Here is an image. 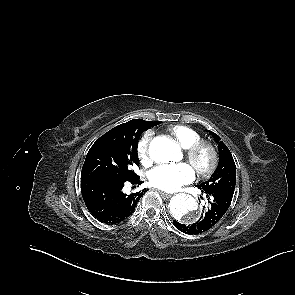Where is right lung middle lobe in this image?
<instances>
[{
	"label": "right lung middle lobe",
	"mask_w": 295,
	"mask_h": 295,
	"mask_svg": "<svg viewBox=\"0 0 295 295\" xmlns=\"http://www.w3.org/2000/svg\"><path fill=\"white\" fill-rule=\"evenodd\" d=\"M160 123L140 119L126 127L109 130L88 151L81 179L108 177L129 180L137 177L132 167L139 165V137L144 131Z\"/></svg>",
	"instance_id": "dd1d6c3e"
}]
</instances>
